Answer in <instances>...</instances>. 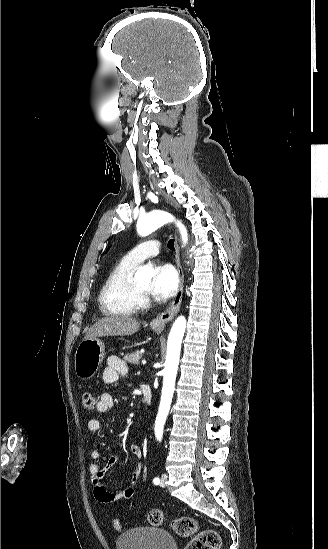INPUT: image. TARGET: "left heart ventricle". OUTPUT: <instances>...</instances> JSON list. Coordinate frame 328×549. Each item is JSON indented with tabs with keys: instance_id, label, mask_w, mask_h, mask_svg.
Here are the masks:
<instances>
[{
	"instance_id": "1",
	"label": "left heart ventricle",
	"mask_w": 328,
	"mask_h": 549,
	"mask_svg": "<svg viewBox=\"0 0 328 549\" xmlns=\"http://www.w3.org/2000/svg\"><path fill=\"white\" fill-rule=\"evenodd\" d=\"M152 269V267H151ZM137 287L140 289L141 292L144 294H149L150 284H151V278L148 276L142 277L140 279L134 280Z\"/></svg>"
}]
</instances>
